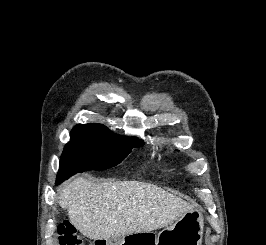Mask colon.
I'll return each mask as SVG.
<instances>
[{"instance_id": "obj_1", "label": "colon", "mask_w": 266, "mask_h": 245, "mask_svg": "<svg viewBox=\"0 0 266 245\" xmlns=\"http://www.w3.org/2000/svg\"><path fill=\"white\" fill-rule=\"evenodd\" d=\"M59 243L60 245H84L82 236L67 219L63 220L59 226Z\"/></svg>"}]
</instances>
